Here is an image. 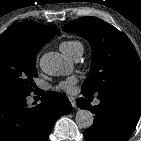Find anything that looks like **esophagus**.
I'll return each mask as SVG.
<instances>
[{
  "label": "esophagus",
  "instance_id": "esophagus-1",
  "mask_svg": "<svg viewBox=\"0 0 141 141\" xmlns=\"http://www.w3.org/2000/svg\"><path fill=\"white\" fill-rule=\"evenodd\" d=\"M69 101H70L72 107H73V108H76V100H75V98L72 97V96H70V97H69Z\"/></svg>",
  "mask_w": 141,
  "mask_h": 141
}]
</instances>
